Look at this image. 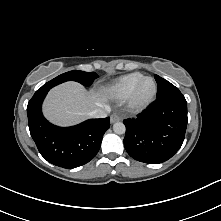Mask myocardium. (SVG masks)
<instances>
[{"label": "myocardium", "instance_id": "myocardium-1", "mask_svg": "<svg viewBox=\"0 0 221 221\" xmlns=\"http://www.w3.org/2000/svg\"><path fill=\"white\" fill-rule=\"evenodd\" d=\"M150 80L153 83V90L146 98L139 97V91L143 83ZM158 87L156 81L152 77H143L133 88L126 100L127 108L134 113H139L145 110L155 99Z\"/></svg>", "mask_w": 221, "mask_h": 221}]
</instances>
